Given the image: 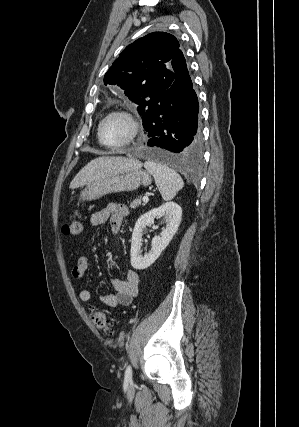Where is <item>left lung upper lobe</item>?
<instances>
[{
  "instance_id": "1",
  "label": "left lung upper lobe",
  "mask_w": 299,
  "mask_h": 427,
  "mask_svg": "<svg viewBox=\"0 0 299 427\" xmlns=\"http://www.w3.org/2000/svg\"><path fill=\"white\" fill-rule=\"evenodd\" d=\"M179 42L165 32L150 33L128 45L104 76V84L117 85L138 104L142 116L174 81L172 59Z\"/></svg>"
}]
</instances>
